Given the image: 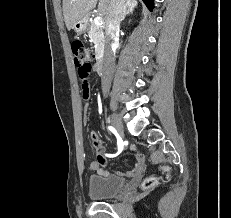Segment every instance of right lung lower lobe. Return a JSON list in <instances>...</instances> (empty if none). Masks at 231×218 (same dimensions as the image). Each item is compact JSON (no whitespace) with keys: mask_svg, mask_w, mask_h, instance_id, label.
<instances>
[{"mask_svg":"<svg viewBox=\"0 0 231 218\" xmlns=\"http://www.w3.org/2000/svg\"><path fill=\"white\" fill-rule=\"evenodd\" d=\"M143 2L146 4V6L152 11L154 4L153 0H143Z\"/></svg>","mask_w":231,"mask_h":218,"instance_id":"1","label":"right lung lower lobe"}]
</instances>
